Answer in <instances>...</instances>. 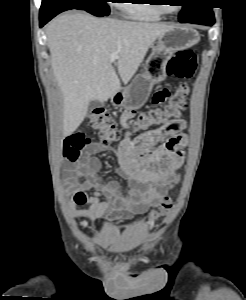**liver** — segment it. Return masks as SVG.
Returning a JSON list of instances; mask_svg holds the SVG:
<instances>
[{"mask_svg":"<svg viewBox=\"0 0 246 300\" xmlns=\"http://www.w3.org/2000/svg\"><path fill=\"white\" fill-rule=\"evenodd\" d=\"M173 26L65 13L46 27L51 67L63 95V136L83 122L90 101H107L138 70L154 41ZM117 52L118 74L110 62Z\"/></svg>","mask_w":246,"mask_h":300,"instance_id":"1","label":"liver"}]
</instances>
